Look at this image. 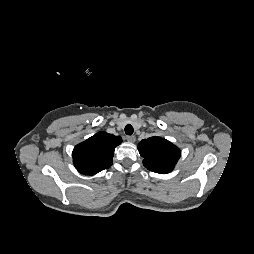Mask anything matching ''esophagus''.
Wrapping results in <instances>:
<instances>
[{
  "mask_svg": "<svg viewBox=\"0 0 254 254\" xmlns=\"http://www.w3.org/2000/svg\"><path fill=\"white\" fill-rule=\"evenodd\" d=\"M126 139H127L128 142H131V143H133V142L136 141V137L133 136V135H131V136H126Z\"/></svg>",
  "mask_w": 254,
  "mask_h": 254,
  "instance_id": "34e87169",
  "label": "esophagus"
}]
</instances>
